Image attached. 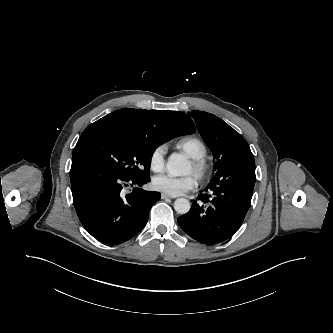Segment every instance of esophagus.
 <instances>
[{"label":"esophagus","instance_id":"obj_1","mask_svg":"<svg viewBox=\"0 0 333 333\" xmlns=\"http://www.w3.org/2000/svg\"><path fill=\"white\" fill-rule=\"evenodd\" d=\"M161 199H163V200H169V199H172V197L171 196H169V195H166V194H161Z\"/></svg>","mask_w":333,"mask_h":333}]
</instances>
